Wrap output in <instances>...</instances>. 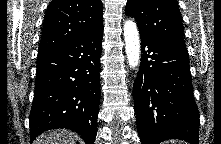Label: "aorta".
I'll use <instances>...</instances> for the list:
<instances>
[{
  "instance_id": "762f6f07",
  "label": "aorta",
  "mask_w": 221,
  "mask_h": 144,
  "mask_svg": "<svg viewBox=\"0 0 221 144\" xmlns=\"http://www.w3.org/2000/svg\"><path fill=\"white\" fill-rule=\"evenodd\" d=\"M125 50L129 66L136 68L140 61V38L136 24L127 20L124 24Z\"/></svg>"
}]
</instances>
